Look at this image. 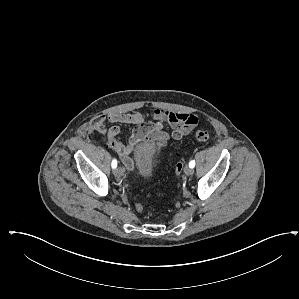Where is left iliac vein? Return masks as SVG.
Returning <instances> with one entry per match:
<instances>
[{"mask_svg": "<svg viewBox=\"0 0 299 299\" xmlns=\"http://www.w3.org/2000/svg\"><path fill=\"white\" fill-rule=\"evenodd\" d=\"M184 172L187 176H190L194 173V170H193V168L187 166V167H185Z\"/></svg>", "mask_w": 299, "mask_h": 299, "instance_id": "1", "label": "left iliac vein"}]
</instances>
